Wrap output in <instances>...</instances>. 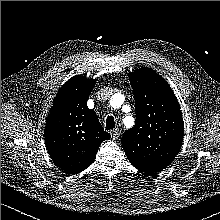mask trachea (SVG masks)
<instances>
[{"mask_svg":"<svg viewBox=\"0 0 220 220\" xmlns=\"http://www.w3.org/2000/svg\"><path fill=\"white\" fill-rule=\"evenodd\" d=\"M115 128L114 118L112 116H108L106 118V130H111Z\"/></svg>","mask_w":220,"mask_h":220,"instance_id":"obj_1","label":"trachea"}]
</instances>
